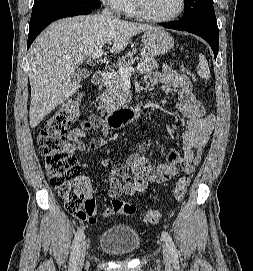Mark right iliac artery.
<instances>
[{"label": "right iliac artery", "instance_id": "82829eb1", "mask_svg": "<svg viewBox=\"0 0 253 271\" xmlns=\"http://www.w3.org/2000/svg\"><path fill=\"white\" fill-rule=\"evenodd\" d=\"M83 234H84V227L80 228L74 237L71 256H70L69 271H75L76 269L78 249H79L80 241L82 239Z\"/></svg>", "mask_w": 253, "mask_h": 271}]
</instances>
